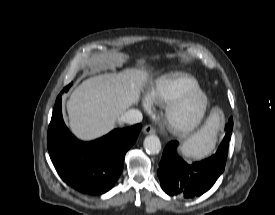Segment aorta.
Listing matches in <instances>:
<instances>
[{"mask_svg":"<svg viewBox=\"0 0 275 215\" xmlns=\"http://www.w3.org/2000/svg\"><path fill=\"white\" fill-rule=\"evenodd\" d=\"M144 148L150 154H158L161 150L160 139L156 135H149L144 140Z\"/></svg>","mask_w":275,"mask_h":215,"instance_id":"1","label":"aorta"}]
</instances>
